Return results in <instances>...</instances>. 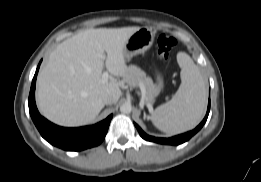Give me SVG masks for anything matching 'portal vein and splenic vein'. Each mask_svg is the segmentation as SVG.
Segmentation results:
<instances>
[{"mask_svg":"<svg viewBox=\"0 0 261 182\" xmlns=\"http://www.w3.org/2000/svg\"><path fill=\"white\" fill-rule=\"evenodd\" d=\"M109 79V73L108 71L103 72L102 74V82H107ZM143 94H145V90L143 89ZM149 106V105H148Z\"/></svg>","mask_w":261,"mask_h":182,"instance_id":"18ae733b","label":"portal vein and splenic vein"}]
</instances>
